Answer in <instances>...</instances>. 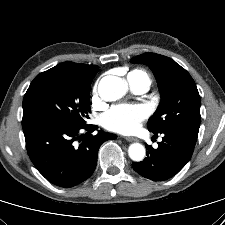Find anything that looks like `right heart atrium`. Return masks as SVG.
<instances>
[{"instance_id": "obj_1", "label": "right heart atrium", "mask_w": 225, "mask_h": 225, "mask_svg": "<svg viewBox=\"0 0 225 225\" xmlns=\"http://www.w3.org/2000/svg\"><path fill=\"white\" fill-rule=\"evenodd\" d=\"M94 100H97V97L96 96H94Z\"/></svg>"}]
</instances>
